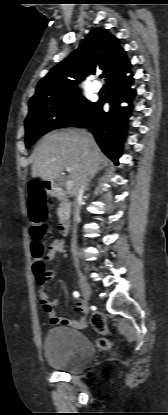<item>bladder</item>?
Returning <instances> with one entry per match:
<instances>
[{
    "mask_svg": "<svg viewBox=\"0 0 168 415\" xmlns=\"http://www.w3.org/2000/svg\"><path fill=\"white\" fill-rule=\"evenodd\" d=\"M43 348L47 363L68 373L83 371L95 355L92 343L82 332L64 326L48 330Z\"/></svg>",
    "mask_w": 168,
    "mask_h": 415,
    "instance_id": "bladder-1",
    "label": "bladder"
}]
</instances>
